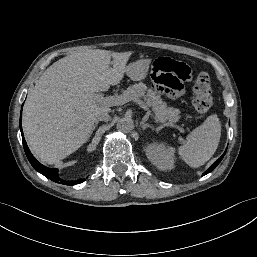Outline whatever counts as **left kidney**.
<instances>
[{"instance_id":"obj_1","label":"left kidney","mask_w":257,"mask_h":257,"mask_svg":"<svg viewBox=\"0 0 257 257\" xmlns=\"http://www.w3.org/2000/svg\"><path fill=\"white\" fill-rule=\"evenodd\" d=\"M145 151L149 161L158 169L164 171L174 168L175 149L173 147L166 146L164 143L154 142L148 145Z\"/></svg>"}]
</instances>
